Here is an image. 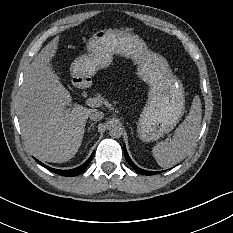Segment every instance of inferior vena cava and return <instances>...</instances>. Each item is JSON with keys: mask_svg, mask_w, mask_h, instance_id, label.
<instances>
[{"mask_svg": "<svg viewBox=\"0 0 233 233\" xmlns=\"http://www.w3.org/2000/svg\"><path fill=\"white\" fill-rule=\"evenodd\" d=\"M103 117L104 113L99 110H95L91 114H89V118L94 121L101 120Z\"/></svg>", "mask_w": 233, "mask_h": 233, "instance_id": "inferior-vena-cava-1", "label": "inferior vena cava"}]
</instances>
